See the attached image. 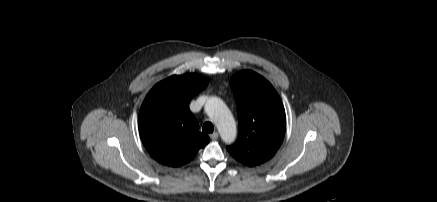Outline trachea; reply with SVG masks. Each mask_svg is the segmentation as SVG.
I'll use <instances>...</instances> for the list:
<instances>
[{
    "label": "trachea",
    "mask_w": 437,
    "mask_h": 202,
    "mask_svg": "<svg viewBox=\"0 0 437 202\" xmlns=\"http://www.w3.org/2000/svg\"><path fill=\"white\" fill-rule=\"evenodd\" d=\"M214 130L213 124L209 121L205 122L203 127H202V131L205 133H212Z\"/></svg>",
    "instance_id": "3493384b"
}]
</instances>
